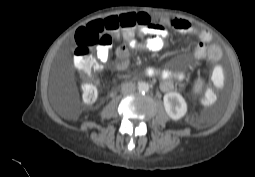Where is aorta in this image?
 <instances>
[{
  "mask_svg": "<svg viewBox=\"0 0 255 177\" xmlns=\"http://www.w3.org/2000/svg\"><path fill=\"white\" fill-rule=\"evenodd\" d=\"M138 90L140 92H147L149 90V84L146 82H139L138 83Z\"/></svg>",
  "mask_w": 255,
  "mask_h": 177,
  "instance_id": "1",
  "label": "aorta"
}]
</instances>
